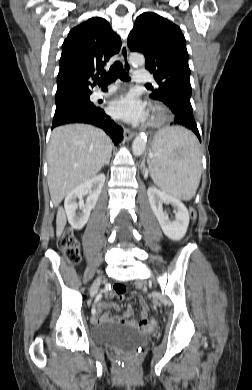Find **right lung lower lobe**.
Returning a JSON list of instances; mask_svg holds the SVG:
<instances>
[{
	"mask_svg": "<svg viewBox=\"0 0 252 390\" xmlns=\"http://www.w3.org/2000/svg\"><path fill=\"white\" fill-rule=\"evenodd\" d=\"M67 123H87L102 128L115 145L123 139V129L105 112L93 104L85 102H69L56 107L52 129Z\"/></svg>",
	"mask_w": 252,
	"mask_h": 390,
	"instance_id": "right-lung-lower-lobe-1",
	"label": "right lung lower lobe"
}]
</instances>
